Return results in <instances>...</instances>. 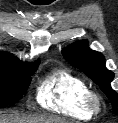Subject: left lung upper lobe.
<instances>
[{
	"label": "left lung upper lobe",
	"instance_id": "1",
	"mask_svg": "<svg viewBox=\"0 0 118 123\" xmlns=\"http://www.w3.org/2000/svg\"><path fill=\"white\" fill-rule=\"evenodd\" d=\"M63 56L72 65L91 78L111 100L113 110L118 114V94L111 88L114 73L105 66L104 56L88 48L87 41L76 42L63 50Z\"/></svg>",
	"mask_w": 118,
	"mask_h": 123
}]
</instances>
